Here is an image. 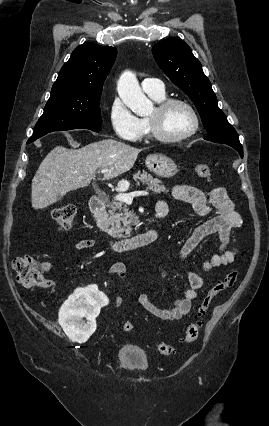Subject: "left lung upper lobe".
<instances>
[{"mask_svg": "<svg viewBox=\"0 0 269 426\" xmlns=\"http://www.w3.org/2000/svg\"><path fill=\"white\" fill-rule=\"evenodd\" d=\"M152 53L169 79L194 102L209 134L205 138L215 143L240 144L236 130L219 109L211 83L191 48L181 39L170 37L155 44Z\"/></svg>", "mask_w": 269, "mask_h": 426, "instance_id": "left-lung-upper-lobe-1", "label": "left lung upper lobe"}]
</instances>
